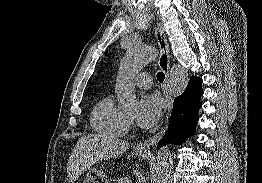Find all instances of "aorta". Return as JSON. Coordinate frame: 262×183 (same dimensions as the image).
<instances>
[{
	"instance_id": "762f6f07",
	"label": "aorta",
	"mask_w": 262,
	"mask_h": 183,
	"mask_svg": "<svg viewBox=\"0 0 262 183\" xmlns=\"http://www.w3.org/2000/svg\"><path fill=\"white\" fill-rule=\"evenodd\" d=\"M157 51L151 46H134L129 48L120 65V79L115 90L118 97L119 108L131 111L138 107L134 86L129 78L137 74L143 67L154 61ZM189 77L187 71L179 64H174L168 77L167 94L171 97L181 95L188 85ZM172 169V157L168 148H161L156 157L154 165V182L164 183Z\"/></svg>"
}]
</instances>
